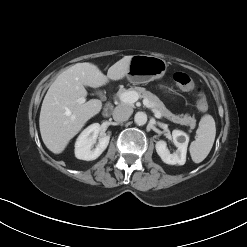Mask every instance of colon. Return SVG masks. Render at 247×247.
Here are the masks:
<instances>
[{
  "label": "colon",
  "mask_w": 247,
  "mask_h": 247,
  "mask_svg": "<svg viewBox=\"0 0 247 247\" xmlns=\"http://www.w3.org/2000/svg\"><path fill=\"white\" fill-rule=\"evenodd\" d=\"M173 82L175 86L182 91H194L197 96V109L201 113L208 110V103L205 94L200 88H197L193 80L183 72H176L173 75Z\"/></svg>",
  "instance_id": "obj_1"
}]
</instances>
